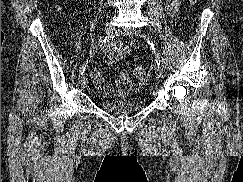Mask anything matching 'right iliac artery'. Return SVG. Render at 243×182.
<instances>
[{
	"label": "right iliac artery",
	"mask_w": 243,
	"mask_h": 182,
	"mask_svg": "<svg viewBox=\"0 0 243 182\" xmlns=\"http://www.w3.org/2000/svg\"><path fill=\"white\" fill-rule=\"evenodd\" d=\"M114 37H115V36H114L113 34L105 36V38L103 39V41H102L101 44H100V47H102V46H104V45L110 43L111 41H113ZM87 62H88V61L84 62V63L80 66V68H79V76H82V75H83V73H84V71H85V68H86V63H87Z\"/></svg>",
	"instance_id": "82829eb1"
}]
</instances>
